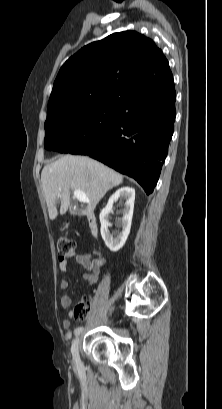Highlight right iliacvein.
<instances>
[{
	"label": "right iliac vein",
	"instance_id": "1",
	"mask_svg": "<svg viewBox=\"0 0 222 409\" xmlns=\"http://www.w3.org/2000/svg\"><path fill=\"white\" fill-rule=\"evenodd\" d=\"M71 351H72V355H73V358L75 359V361H78V359H79V337H77L74 340V342L72 344Z\"/></svg>",
	"mask_w": 222,
	"mask_h": 409
}]
</instances>
